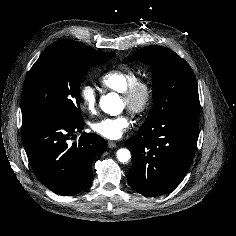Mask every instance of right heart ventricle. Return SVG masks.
Returning a JSON list of instances; mask_svg holds the SVG:
<instances>
[{"instance_id":"1","label":"right heart ventricle","mask_w":236,"mask_h":236,"mask_svg":"<svg viewBox=\"0 0 236 236\" xmlns=\"http://www.w3.org/2000/svg\"><path fill=\"white\" fill-rule=\"evenodd\" d=\"M137 77L135 70L117 67L103 73L99 80L105 89L122 93Z\"/></svg>"}]
</instances>
